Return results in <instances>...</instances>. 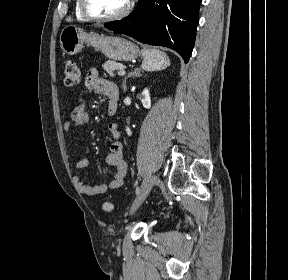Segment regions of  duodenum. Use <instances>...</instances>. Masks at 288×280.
Returning <instances> with one entry per match:
<instances>
[{
    "mask_svg": "<svg viewBox=\"0 0 288 280\" xmlns=\"http://www.w3.org/2000/svg\"><path fill=\"white\" fill-rule=\"evenodd\" d=\"M117 108H118V99L117 98L111 99L108 105L109 114H115Z\"/></svg>",
    "mask_w": 288,
    "mask_h": 280,
    "instance_id": "410a0bca",
    "label": "duodenum"
}]
</instances>
